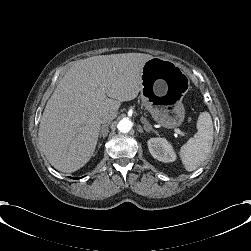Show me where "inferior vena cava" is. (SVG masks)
<instances>
[{
    "mask_svg": "<svg viewBox=\"0 0 251 251\" xmlns=\"http://www.w3.org/2000/svg\"><path fill=\"white\" fill-rule=\"evenodd\" d=\"M113 119H114L113 117H108V118L102 119L101 123H109Z\"/></svg>",
    "mask_w": 251,
    "mask_h": 251,
    "instance_id": "obj_1",
    "label": "inferior vena cava"
}]
</instances>
